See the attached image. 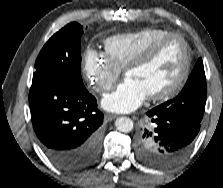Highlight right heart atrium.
I'll list each match as a JSON object with an SVG mask.
<instances>
[{
    "label": "right heart atrium",
    "instance_id": "right-heart-atrium-1",
    "mask_svg": "<svg viewBox=\"0 0 223 188\" xmlns=\"http://www.w3.org/2000/svg\"><path fill=\"white\" fill-rule=\"evenodd\" d=\"M83 75L93 91L104 94L117 81L120 68L105 53L89 50L83 60Z\"/></svg>",
    "mask_w": 223,
    "mask_h": 188
}]
</instances>
